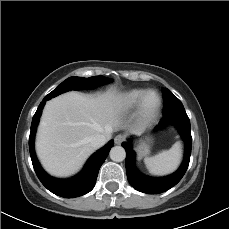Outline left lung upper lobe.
<instances>
[{
  "instance_id": "obj_1",
  "label": "left lung upper lobe",
  "mask_w": 229,
  "mask_h": 229,
  "mask_svg": "<svg viewBox=\"0 0 229 229\" xmlns=\"http://www.w3.org/2000/svg\"><path fill=\"white\" fill-rule=\"evenodd\" d=\"M164 111L163 116L177 112H185L181 101L167 88L163 89Z\"/></svg>"
}]
</instances>
